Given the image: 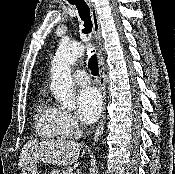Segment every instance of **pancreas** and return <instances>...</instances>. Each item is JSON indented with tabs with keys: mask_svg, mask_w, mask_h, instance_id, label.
Returning a JSON list of instances; mask_svg holds the SVG:
<instances>
[{
	"mask_svg": "<svg viewBox=\"0 0 175 174\" xmlns=\"http://www.w3.org/2000/svg\"><path fill=\"white\" fill-rule=\"evenodd\" d=\"M55 171H56V170H53V171L51 172V174H54ZM62 174H74V172H73V167H67L66 169H64V170L62 171Z\"/></svg>",
	"mask_w": 175,
	"mask_h": 174,
	"instance_id": "pancreas-1",
	"label": "pancreas"
}]
</instances>
